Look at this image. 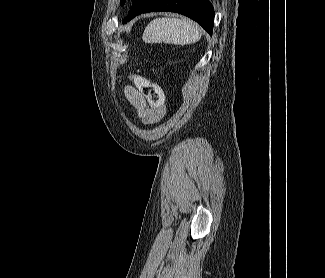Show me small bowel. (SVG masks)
<instances>
[{
	"instance_id": "c3829d8e",
	"label": "small bowel",
	"mask_w": 325,
	"mask_h": 278,
	"mask_svg": "<svg viewBox=\"0 0 325 278\" xmlns=\"http://www.w3.org/2000/svg\"><path fill=\"white\" fill-rule=\"evenodd\" d=\"M124 92L127 100L135 108L143 124L151 125L160 121L163 116L164 109H157L147 105L144 96L137 88L133 86H127Z\"/></svg>"
}]
</instances>
